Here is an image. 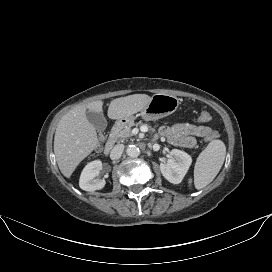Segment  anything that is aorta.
Returning a JSON list of instances; mask_svg holds the SVG:
<instances>
[{
  "label": "aorta",
  "mask_w": 272,
  "mask_h": 272,
  "mask_svg": "<svg viewBox=\"0 0 272 272\" xmlns=\"http://www.w3.org/2000/svg\"><path fill=\"white\" fill-rule=\"evenodd\" d=\"M126 153L130 157H138L140 154V150L137 146L135 145H129L126 149Z\"/></svg>",
  "instance_id": "762f6f07"
}]
</instances>
